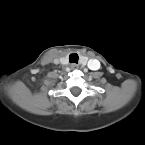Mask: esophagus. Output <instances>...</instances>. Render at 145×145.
I'll use <instances>...</instances> for the list:
<instances>
[{
  "mask_svg": "<svg viewBox=\"0 0 145 145\" xmlns=\"http://www.w3.org/2000/svg\"><path fill=\"white\" fill-rule=\"evenodd\" d=\"M71 67H72L73 69H75V68H77V65H72Z\"/></svg>",
  "mask_w": 145,
  "mask_h": 145,
  "instance_id": "1",
  "label": "esophagus"
}]
</instances>
